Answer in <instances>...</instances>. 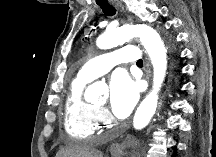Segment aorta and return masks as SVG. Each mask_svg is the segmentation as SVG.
Returning a JSON list of instances; mask_svg holds the SVG:
<instances>
[{"label": "aorta", "mask_w": 216, "mask_h": 157, "mask_svg": "<svg viewBox=\"0 0 216 157\" xmlns=\"http://www.w3.org/2000/svg\"><path fill=\"white\" fill-rule=\"evenodd\" d=\"M138 37L146 49L153 66V87L137 108L133 126L136 130L145 128L154 116L157 104L158 93L161 89L167 71V48L160 35L150 26L144 24L124 25L115 29L107 30L101 35L96 44L100 49H111L126 41ZM101 87L93 83L87 90L86 99H97L100 96Z\"/></svg>", "instance_id": "aorta-1"}]
</instances>
